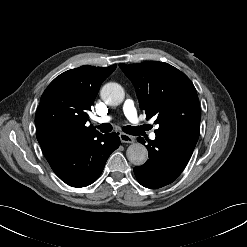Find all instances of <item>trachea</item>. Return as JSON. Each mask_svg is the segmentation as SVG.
Returning <instances> with one entry per match:
<instances>
[{"instance_id": "3493384b", "label": "trachea", "mask_w": 247, "mask_h": 247, "mask_svg": "<svg viewBox=\"0 0 247 247\" xmlns=\"http://www.w3.org/2000/svg\"><path fill=\"white\" fill-rule=\"evenodd\" d=\"M97 128L103 132V133H107V132H111L112 131V125L109 123H104L101 124L99 126H97ZM122 130L127 133V134H131V135H137L138 131H139V127H133V126H124L122 128Z\"/></svg>"}]
</instances>
